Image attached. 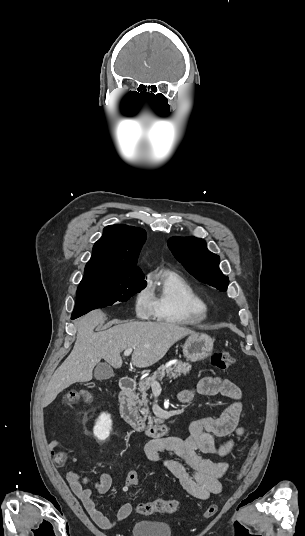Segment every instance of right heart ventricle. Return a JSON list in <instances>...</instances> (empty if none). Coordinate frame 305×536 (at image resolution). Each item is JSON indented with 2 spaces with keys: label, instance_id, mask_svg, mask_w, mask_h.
<instances>
[{
  "label": "right heart ventricle",
  "instance_id": "1",
  "mask_svg": "<svg viewBox=\"0 0 305 536\" xmlns=\"http://www.w3.org/2000/svg\"><path fill=\"white\" fill-rule=\"evenodd\" d=\"M149 291L153 309L161 321L195 325L207 319L206 302L177 272L163 270L156 273Z\"/></svg>",
  "mask_w": 305,
  "mask_h": 536
}]
</instances>
